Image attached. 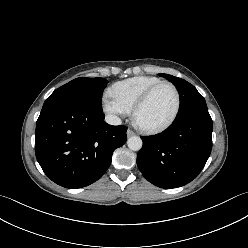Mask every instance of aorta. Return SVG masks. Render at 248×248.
I'll return each mask as SVG.
<instances>
[{
  "label": "aorta",
  "instance_id": "1",
  "mask_svg": "<svg viewBox=\"0 0 248 248\" xmlns=\"http://www.w3.org/2000/svg\"><path fill=\"white\" fill-rule=\"evenodd\" d=\"M128 148L133 151H139L142 148L143 142L140 137L138 136H131L127 140Z\"/></svg>",
  "mask_w": 248,
  "mask_h": 248
}]
</instances>
